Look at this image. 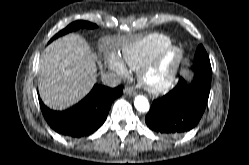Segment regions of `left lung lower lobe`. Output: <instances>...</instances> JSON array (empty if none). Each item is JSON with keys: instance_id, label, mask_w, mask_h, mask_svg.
I'll return each instance as SVG.
<instances>
[{"instance_id": "obj_1", "label": "left lung lower lobe", "mask_w": 249, "mask_h": 165, "mask_svg": "<svg viewBox=\"0 0 249 165\" xmlns=\"http://www.w3.org/2000/svg\"><path fill=\"white\" fill-rule=\"evenodd\" d=\"M192 71L194 78L191 83L181 77L173 90L153 100L145 117L151 130L178 136L198 124L208 101L212 69L193 66Z\"/></svg>"}]
</instances>
